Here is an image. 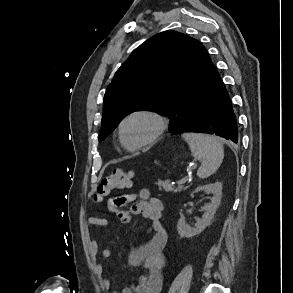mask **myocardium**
Listing matches in <instances>:
<instances>
[{
	"label": "myocardium",
	"mask_w": 293,
	"mask_h": 293,
	"mask_svg": "<svg viewBox=\"0 0 293 293\" xmlns=\"http://www.w3.org/2000/svg\"><path fill=\"white\" fill-rule=\"evenodd\" d=\"M134 117L149 118L154 122L155 127H154L153 133L151 134V136L149 138H147L146 140H144L140 143L130 145L125 140L123 129H124L125 124L130 119H132ZM166 129H167V122L163 116H161L157 112L142 109V110L133 111V112L129 113L127 116H125L119 124L118 133H119V138H120L122 145L127 150L135 151V150H139L141 148H144V147L156 142L163 135V133L165 132Z\"/></svg>",
	"instance_id": "myocardium-1"
}]
</instances>
